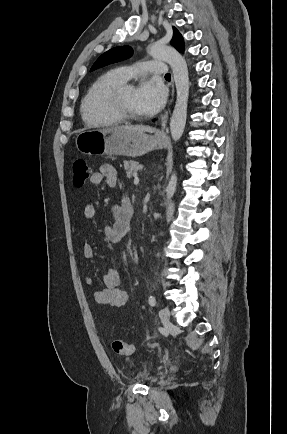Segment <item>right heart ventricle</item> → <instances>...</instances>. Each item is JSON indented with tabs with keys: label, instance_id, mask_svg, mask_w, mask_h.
Listing matches in <instances>:
<instances>
[{
	"label": "right heart ventricle",
	"instance_id": "right-heart-ventricle-1",
	"mask_svg": "<svg viewBox=\"0 0 287 434\" xmlns=\"http://www.w3.org/2000/svg\"><path fill=\"white\" fill-rule=\"evenodd\" d=\"M119 69L100 75L88 88L80 104L83 121L90 126H108L121 122L109 109L107 97L111 90L125 83Z\"/></svg>",
	"mask_w": 287,
	"mask_h": 434
}]
</instances>
